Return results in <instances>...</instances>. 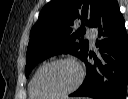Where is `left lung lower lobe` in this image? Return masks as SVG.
<instances>
[{
	"instance_id": "0a47b994",
	"label": "left lung lower lobe",
	"mask_w": 128,
	"mask_h": 99,
	"mask_svg": "<svg viewBox=\"0 0 128 99\" xmlns=\"http://www.w3.org/2000/svg\"><path fill=\"white\" fill-rule=\"evenodd\" d=\"M102 40H96L97 54H84L87 76L70 96L95 99H126L128 83V36L117 0H107L100 18L93 27ZM93 57L94 63L87 62Z\"/></svg>"
}]
</instances>
